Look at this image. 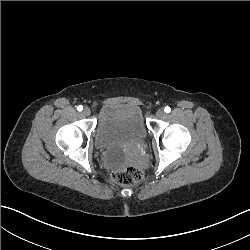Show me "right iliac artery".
<instances>
[{
    "label": "right iliac artery",
    "mask_w": 250,
    "mask_h": 250,
    "mask_svg": "<svg viewBox=\"0 0 250 250\" xmlns=\"http://www.w3.org/2000/svg\"><path fill=\"white\" fill-rule=\"evenodd\" d=\"M77 110H78V111H82V110H83V106H82V105H79V106L77 107Z\"/></svg>",
    "instance_id": "1"
}]
</instances>
